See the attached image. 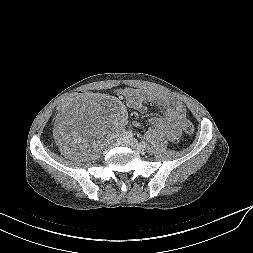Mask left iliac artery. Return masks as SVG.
Masks as SVG:
<instances>
[{"mask_svg": "<svg viewBox=\"0 0 253 253\" xmlns=\"http://www.w3.org/2000/svg\"><path fill=\"white\" fill-rule=\"evenodd\" d=\"M140 146H141L142 148H146V147H147V143L144 142V141H142V142H140Z\"/></svg>", "mask_w": 253, "mask_h": 253, "instance_id": "left-iliac-artery-1", "label": "left iliac artery"}]
</instances>
